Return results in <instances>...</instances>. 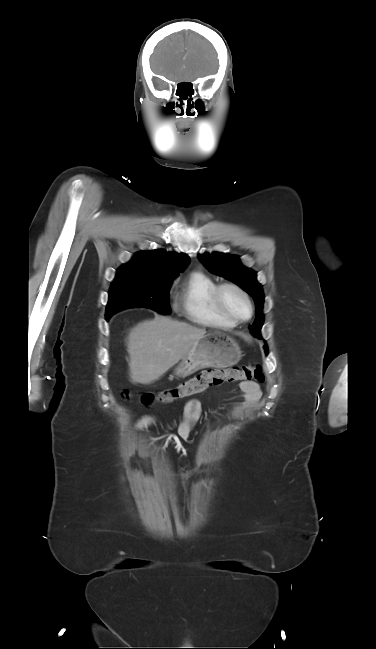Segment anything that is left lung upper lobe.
Here are the masks:
<instances>
[{
	"instance_id": "obj_1",
	"label": "left lung upper lobe",
	"mask_w": 376,
	"mask_h": 649,
	"mask_svg": "<svg viewBox=\"0 0 376 649\" xmlns=\"http://www.w3.org/2000/svg\"><path fill=\"white\" fill-rule=\"evenodd\" d=\"M197 257L209 271L231 280L253 296L256 305V318L250 331L253 336L261 338L260 330L264 320L262 314L264 294L262 286L256 279V272L245 268L236 256L227 253H205L199 254Z\"/></svg>"
}]
</instances>
